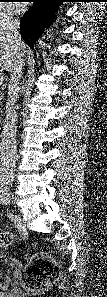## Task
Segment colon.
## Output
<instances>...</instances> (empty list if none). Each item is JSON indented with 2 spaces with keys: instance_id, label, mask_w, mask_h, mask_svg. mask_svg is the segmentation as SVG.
<instances>
[{
  "instance_id": "1",
  "label": "colon",
  "mask_w": 107,
  "mask_h": 297,
  "mask_svg": "<svg viewBox=\"0 0 107 297\" xmlns=\"http://www.w3.org/2000/svg\"><path fill=\"white\" fill-rule=\"evenodd\" d=\"M12 241L10 234L1 233V246H8ZM57 274L58 266L52 259L44 254H36L27 267L23 284L31 292H43L53 283Z\"/></svg>"
}]
</instances>
